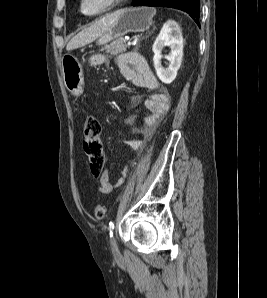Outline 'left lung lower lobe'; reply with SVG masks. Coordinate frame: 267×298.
<instances>
[{"mask_svg":"<svg viewBox=\"0 0 267 298\" xmlns=\"http://www.w3.org/2000/svg\"><path fill=\"white\" fill-rule=\"evenodd\" d=\"M200 0H133V6H158V7H170L187 12L193 20L199 24L198 19Z\"/></svg>","mask_w":267,"mask_h":298,"instance_id":"left-lung-lower-lobe-1","label":"left lung lower lobe"}]
</instances>
